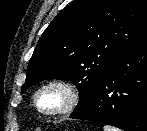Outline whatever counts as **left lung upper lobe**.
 Masks as SVG:
<instances>
[{
    "label": "left lung upper lobe",
    "instance_id": "1",
    "mask_svg": "<svg viewBox=\"0 0 147 131\" xmlns=\"http://www.w3.org/2000/svg\"><path fill=\"white\" fill-rule=\"evenodd\" d=\"M147 38V0H74L43 32L22 91L46 79L72 81L91 100L106 72L126 50Z\"/></svg>",
    "mask_w": 147,
    "mask_h": 131
}]
</instances>
